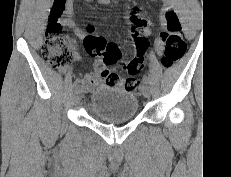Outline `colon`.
Wrapping results in <instances>:
<instances>
[{
    "label": "colon",
    "mask_w": 231,
    "mask_h": 177,
    "mask_svg": "<svg viewBox=\"0 0 231 177\" xmlns=\"http://www.w3.org/2000/svg\"><path fill=\"white\" fill-rule=\"evenodd\" d=\"M61 9L56 3L51 10V20L47 26L42 54L45 61L54 69L65 68L73 59V53L68 48L65 39L61 35L62 26L59 23ZM91 27L84 37V45L87 53L92 56H100L103 65L118 64L126 72L125 76H119L108 69L103 70L110 83L121 84L128 90L140 88L137 74L143 68L144 54L148 46V39L137 27L131 26V39L135 44L136 56L130 60H123L121 47L114 42H107L102 36L93 34ZM164 43L162 68H170L179 60L186 51V44L181 35V24L177 14L172 10L165 12V31L160 35Z\"/></svg>",
    "instance_id": "colon-1"
}]
</instances>
